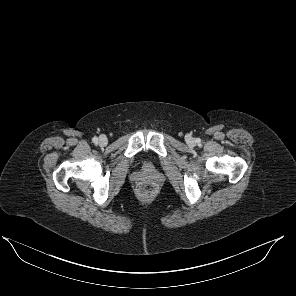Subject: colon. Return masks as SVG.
<instances>
[{"instance_id":"colon-1","label":"colon","mask_w":296,"mask_h":296,"mask_svg":"<svg viewBox=\"0 0 296 296\" xmlns=\"http://www.w3.org/2000/svg\"><path fill=\"white\" fill-rule=\"evenodd\" d=\"M156 184L152 181H143L138 185V192L143 198H150L156 192Z\"/></svg>"}]
</instances>
